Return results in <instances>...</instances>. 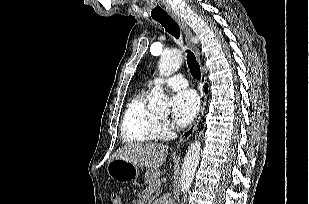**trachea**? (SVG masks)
Returning a JSON list of instances; mask_svg holds the SVG:
<instances>
[{
  "mask_svg": "<svg viewBox=\"0 0 309 204\" xmlns=\"http://www.w3.org/2000/svg\"><path fill=\"white\" fill-rule=\"evenodd\" d=\"M154 20L158 21L165 30L174 36L175 38L180 37V29L178 24L169 16V15H161L158 17H154ZM187 64L192 74L193 78L200 79L201 78V71L199 63L196 61V57L193 52L187 50Z\"/></svg>",
  "mask_w": 309,
  "mask_h": 204,
  "instance_id": "1",
  "label": "trachea"
}]
</instances>
